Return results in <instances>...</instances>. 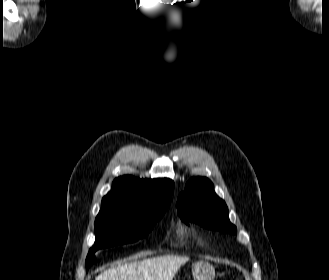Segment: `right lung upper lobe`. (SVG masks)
Here are the masks:
<instances>
[{
  "label": "right lung upper lobe",
  "mask_w": 329,
  "mask_h": 280,
  "mask_svg": "<svg viewBox=\"0 0 329 280\" xmlns=\"http://www.w3.org/2000/svg\"><path fill=\"white\" fill-rule=\"evenodd\" d=\"M173 190L174 182L170 179H136L127 175L114 180L102 204L115 202L149 209L157 203L171 202Z\"/></svg>",
  "instance_id": "cb5924a9"
}]
</instances>
